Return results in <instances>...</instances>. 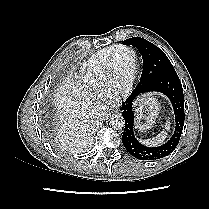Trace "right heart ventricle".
Instances as JSON below:
<instances>
[{
    "instance_id": "e07e8e85",
    "label": "right heart ventricle",
    "mask_w": 209,
    "mask_h": 209,
    "mask_svg": "<svg viewBox=\"0 0 209 209\" xmlns=\"http://www.w3.org/2000/svg\"><path fill=\"white\" fill-rule=\"evenodd\" d=\"M118 45L110 46L93 54L81 67L80 80L83 87L94 93L105 91L106 70L112 53Z\"/></svg>"
}]
</instances>
